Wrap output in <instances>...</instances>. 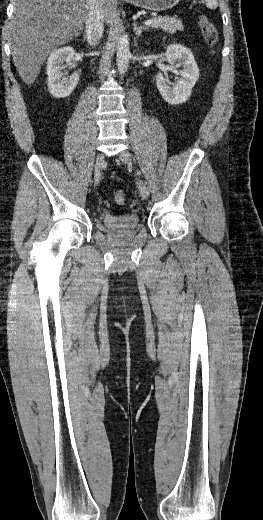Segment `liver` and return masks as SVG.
I'll list each match as a JSON object with an SVG mask.
<instances>
[{
	"label": "liver",
	"mask_w": 263,
	"mask_h": 520,
	"mask_svg": "<svg viewBox=\"0 0 263 520\" xmlns=\"http://www.w3.org/2000/svg\"><path fill=\"white\" fill-rule=\"evenodd\" d=\"M116 2L103 0L107 24L116 13ZM13 5L9 27L13 62L30 86L47 56L80 35L87 17V0H14Z\"/></svg>",
	"instance_id": "liver-1"
}]
</instances>
